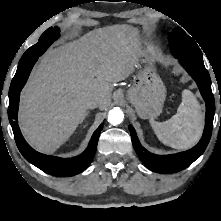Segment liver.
Returning <instances> with one entry per match:
<instances>
[{"label": "liver", "mask_w": 221, "mask_h": 221, "mask_svg": "<svg viewBox=\"0 0 221 221\" xmlns=\"http://www.w3.org/2000/svg\"><path fill=\"white\" fill-rule=\"evenodd\" d=\"M138 60L134 30L114 25L49 49L21 92L19 125L26 140L53 153L87 116V101L99 109L111 103L113 84L130 76Z\"/></svg>", "instance_id": "6515ba94"}]
</instances>
